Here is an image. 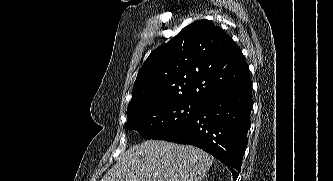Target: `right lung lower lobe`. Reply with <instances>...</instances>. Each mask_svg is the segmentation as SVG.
I'll return each instance as SVG.
<instances>
[{"label":"right lung lower lobe","mask_w":333,"mask_h":181,"mask_svg":"<svg viewBox=\"0 0 333 181\" xmlns=\"http://www.w3.org/2000/svg\"><path fill=\"white\" fill-rule=\"evenodd\" d=\"M252 82L212 94L201 101L191 121L167 141L197 146L220 160L236 180L247 147Z\"/></svg>","instance_id":"obj_1"}]
</instances>
